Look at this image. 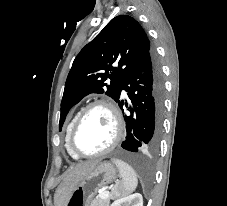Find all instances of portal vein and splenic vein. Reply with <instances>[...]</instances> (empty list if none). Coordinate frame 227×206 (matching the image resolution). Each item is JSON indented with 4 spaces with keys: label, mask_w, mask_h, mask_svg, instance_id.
<instances>
[{
    "label": "portal vein and splenic vein",
    "mask_w": 227,
    "mask_h": 206,
    "mask_svg": "<svg viewBox=\"0 0 227 206\" xmlns=\"http://www.w3.org/2000/svg\"><path fill=\"white\" fill-rule=\"evenodd\" d=\"M109 196V191H104L103 193L100 194L101 198H106Z\"/></svg>",
    "instance_id": "1"
}]
</instances>
